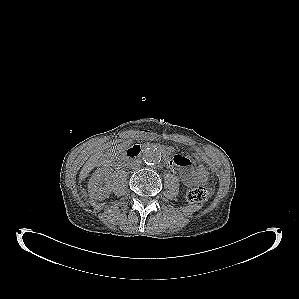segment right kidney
Here are the masks:
<instances>
[{
  "label": "right kidney",
  "instance_id": "obj_1",
  "mask_svg": "<svg viewBox=\"0 0 299 299\" xmlns=\"http://www.w3.org/2000/svg\"><path fill=\"white\" fill-rule=\"evenodd\" d=\"M88 191L91 197L95 199H105L111 193L109 181V169H99L91 177L88 184Z\"/></svg>",
  "mask_w": 299,
  "mask_h": 299
}]
</instances>
